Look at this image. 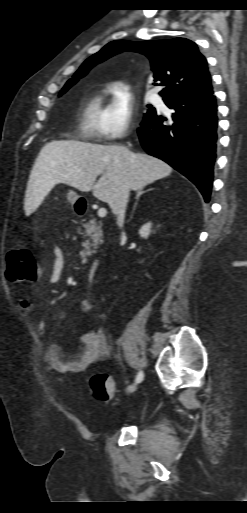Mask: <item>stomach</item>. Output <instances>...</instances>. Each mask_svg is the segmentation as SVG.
Instances as JSON below:
<instances>
[{
	"mask_svg": "<svg viewBox=\"0 0 247 513\" xmlns=\"http://www.w3.org/2000/svg\"><path fill=\"white\" fill-rule=\"evenodd\" d=\"M67 199L68 202L71 203L74 207L75 212H77L76 204L78 203V201H80V196L76 192L70 190L67 194Z\"/></svg>",
	"mask_w": 247,
	"mask_h": 513,
	"instance_id": "stomach-1",
	"label": "stomach"
}]
</instances>
